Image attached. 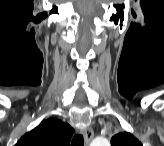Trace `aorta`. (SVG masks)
<instances>
[{"label":"aorta","instance_id":"aorta-1","mask_svg":"<svg viewBox=\"0 0 164 146\" xmlns=\"http://www.w3.org/2000/svg\"><path fill=\"white\" fill-rule=\"evenodd\" d=\"M109 144V141L102 137L95 138L91 143L92 146H109Z\"/></svg>","mask_w":164,"mask_h":146}]
</instances>
